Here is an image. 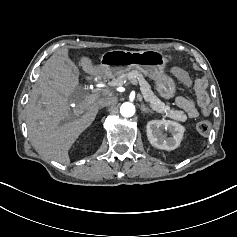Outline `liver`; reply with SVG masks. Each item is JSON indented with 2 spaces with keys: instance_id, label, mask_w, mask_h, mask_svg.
<instances>
[{
  "instance_id": "obj_1",
  "label": "liver",
  "mask_w": 237,
  "mask_h": 237,
  "mask_svg": "<svg viewBox=\"0 0 237 237\" xmlns=\"http://www.w3.org/2000/svg\"><path fill=\"white\" fill-rule=\"evenodd\" d=\"M68 53L65 48L46 61L26 105L28 134L36 152L63 165L70 164L69 151L94 122L102 99L94 102L91 96L77 98L73 101L77 106L69 107L78 87L79 71ZM79 63L91 76H105L104 69L85 54L80 55ZM102 94L112 95L111 89L105 88Z\"/></svg>"
}]
</instances>
